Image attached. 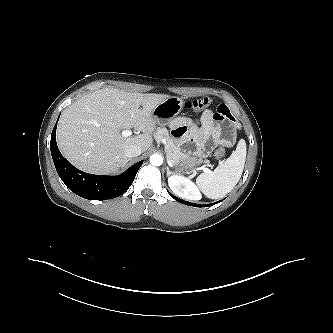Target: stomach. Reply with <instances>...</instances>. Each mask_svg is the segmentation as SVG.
Returning a JSON list of instances; mask_svg holds the SVG:
<instances>
[{
  "label": "stomach",
  "mask_w": 333,
  "mask_h": 333,
  "mask_svg": "<svg viewBox=\"0 0 333 333\" xmlns=\"http://www.w3.org/2000/svg\"><path fill=\"white\" fill-rule=\"evenodd\" d=\"M184 101L177 96L167 97L152 110V117L157 124L170 123L182 110ZM178 172L193 171L198 163L195 157H187L180 162L174 163Z\"/></svg>",
  "instance_id": "0dacf381"
}]
</instances>
